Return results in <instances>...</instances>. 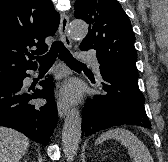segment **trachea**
Masks as SVG:
<instances>
[{
	"mask_svg": "<svg viewBox=\"0 0 168 162\" xmlns=\"http://www.w3.org/2000/svg\"><path fill=\"white\" fill-rule=\"evenodd\" d=\"M58 54L70 68L86 67L85 64L79 62L71 55L61 41H55L48 53L36 57V59L39 62L40 67H51Z\"/></svg>",
	"mask_w": 168,
	"mask_h": 162,
	"instance_id": "obj_1",
	"label": "trachea"
}]
</instances>
